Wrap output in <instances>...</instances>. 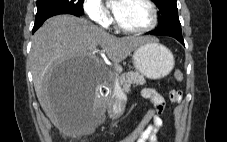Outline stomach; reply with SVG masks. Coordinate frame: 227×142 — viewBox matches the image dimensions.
Returning <instances> with one entry per match:
<instances>
[{
  "mask_svg": "<svg viewBox=\"0 0 227 142\" xmlns=\"http://www.w3.org/2000/svg\"><path fill=\"white\" fill-rule=\"evenodd\" d=\"M135 69L151 80L166 77L174 67L172 52L155 40L145 42L137 47L132 55ZM124 101H119L113 108L117 115L124 110Z\"/></svg>",
  "mask_w": 227,
  "mask_h": 142,
  "instance_id": "obj_1",
  "label": "stomach"
}]
</instances>
